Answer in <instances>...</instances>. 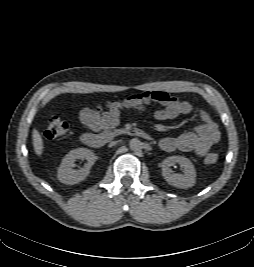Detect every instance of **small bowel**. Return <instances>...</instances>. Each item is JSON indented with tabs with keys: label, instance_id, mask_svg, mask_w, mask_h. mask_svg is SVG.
<instances>
[{
	"label": "small bowel",
	"instance_id": "obj_1",
	"mask_svg": "<svg viewBox=\"0 0 254 267\" xmlns=\"http://www.w3.org/2000/svg\"><path fill=\"white\" fill-rule=\"evenodd\" d=\"M151 104L162 106L154 112V117L159 121L193 113V107L189 102L181 101L164 91H145L130 95L121 101L108 102L104 107L83 108L79 118L85 128L98 132L117 126L123 111H144ZM197 115L201 120L199 126L193 131L163 138L160 141L161 149L166 152H192L198 156H204L210 147L218 142L220 132L217 123L206 110L199 109Z\"/></svg>",
	"mask_w": 254,
	"mask_h": 267
}]
</instances>
